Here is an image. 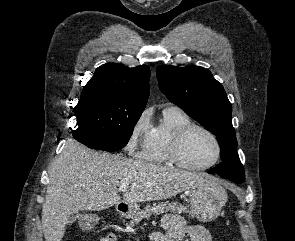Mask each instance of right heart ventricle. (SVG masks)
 I'll return each mask as SVG.
<instances>
[{
	"label": "right heart ventricle",
	"instance_id": "obj_1",
	"mask_svg": "<svg viewBox=\"0 0 295 241\" xmlns=\"http://www.w3.org/2000/svg\"><path fill=\"white\" fill-rule=\"evenodd\" d=\"M192 123L191 118L177 107H168L162 118L151 127L149 137L139 157L154 164L172 163L168 154V145L173 134L182 126Z\"/></svg>",
	"mask_w": 295,
	"mask_h": 241
}]
</instances>
